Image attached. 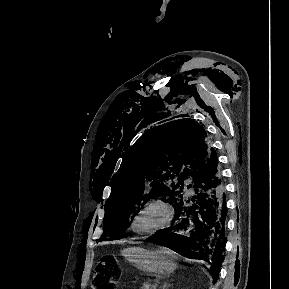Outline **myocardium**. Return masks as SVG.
Masks as SVG:
<instances>
[{"instance_id":"obj_1","label":"myocardium","mask_w":289,"mask_h":289,"mask_svg":"<svg viewBox=\"0 0 289 289\" xmlns=\"http://www.w3.org/2000/svg\"><path fill=\"white\" fill-rule=\"evenodd\" d=\"M153 207H157V208H160L163 210V212H164L163 223L161 225L151 229V230H148V231H142V230L137 229V227H136L137 220L140 218V216L145 211H147L148 209L153 208ZM173 215H174L173 208L167 201H165L163 199H153V200H150L147 203H145L138 210V212L134 216L133 221L131 223V229L133 232H135L139 235H147V236L153 235V234H155L159 231H162V230L166 229L167 227H169L171 224V221L173 219Z\"/></svg>"}]
</instances>
